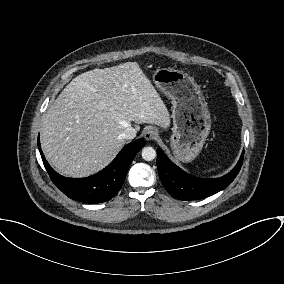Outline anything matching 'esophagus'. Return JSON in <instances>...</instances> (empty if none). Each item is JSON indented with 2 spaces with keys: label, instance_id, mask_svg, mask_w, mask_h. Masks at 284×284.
Here are the masks:
<instances>
[{
  "label": "esophagus",
  "instance_id": "esophagus-1",
  "mask_svg": "<svg viewBox=\"0 0 284 284\" xmlns=\"http://www.w3.org/2000/svg\"><path fill=\"white\" fill-rule=\"evenodd\" d=\"M144 137L148 141L156 139L158 137L157 129L154 127H147L144 130Z\"/></svg>",
  "mask_w": 284,
  "mask_h": 284
}]
</instances>
